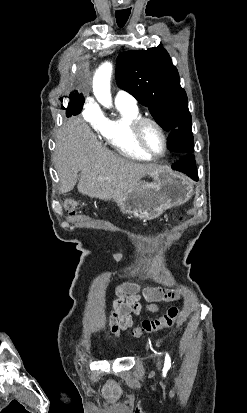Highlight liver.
Listing matches in <instances>:
<instances>
[{
  "mask_svg": "<svg viewBox=\"0 0 247 413\" xmlns=\"http://www.w3.org/2000/svg\"><path fill=\"white\" fill-rule=\"evenodd\" d=\"M55 168L61 194L74 188L78 170H81L77 184L79 192L104 200H116L145 174L160 166L135 162L116 154L100 142L84 118L73 116L57 132Z\"/></svg>",
  "mask_w": 247,
  "mask_h": 413,
  "instance_id": "obj_1",
  "label": "liver"
}]
</instances>
